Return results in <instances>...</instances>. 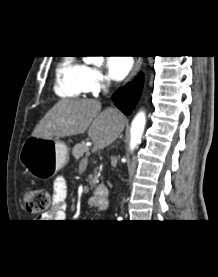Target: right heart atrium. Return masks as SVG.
Wrapping results in <instances>:
<instances>
[{"mask_svg": "<svg viewBox=\"0 0 218 277\" xmlns=\"http://www.w3.org/2000/svg\"><path fill=\"white\" fill-rule=\"evenodd\" d=\"M107 84L103 72L95 66H86L84 72V85L86 92L96 91Z\"/></svg>", "mask_w": 218, "mask_h": 277, "instance_id": "right-heart-atrium-1", "label": "right heart atrium"}]
</instances>
